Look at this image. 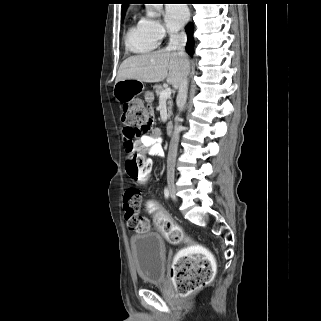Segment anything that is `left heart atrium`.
<instances>
[{"label": "left heart atrium", "mask_w": 321, "mask_h": 321, "mask_svg": "<svg viewBox=\"0 0 321 321\" xmlns=\"http://www.w3.org/2000/svg\"><path fill=\"white\" fill-rule=\"evenodd\" d=\"M188 15V9L182 4H168L164 12L165 21L171 30L180 29L187 21Z\"/></svg>", "instance_id": "1"}]
</instances>
